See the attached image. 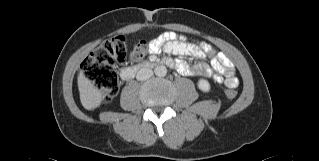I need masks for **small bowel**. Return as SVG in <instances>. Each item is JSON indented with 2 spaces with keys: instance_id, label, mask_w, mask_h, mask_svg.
Segmentation results:
<instances>
[{
  "instance_id": "small-bowel-1",
  "label": "small bowel",
  "mask_w": 319,
  "mask_h": 161,
  "mask_svg": "<svg viewBox=\"0 0 319 161\" xmlns=\"http://www.w3.org/2000/svg\"><path fill=\"white\" fill-rule=\"evenodd\" d=\"M148 49L153 55L163 51L167 54L190 56L198 60L209 57V63L200 61L192 65L183 60H177L175 67L182 75L212 76L217 83H222L225 80L227 85L231 83H234L235 86L238 85L236 70L231 61L224 54L216 53L214 48L207 42L189 43L185 41L181 33L167 30L151 40ZM213 71L216 73L213 74Z\"/></svg>"
}]
</instances>
